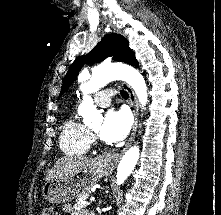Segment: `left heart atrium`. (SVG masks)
<instances>
[{"instance_id": "obj_1", "label": "left heart atrium", "mask_w": 221, "mask_h": 215, "mask_svg": "<svg viewBox=\"0 0 221 215\" xmlns=\"http://www.w3.org/2000/svg\"><path fill=\"white\" fill-rule=\"evenodd\" d=\"M130 130V118L125 111L110 110L100 128V137L110 143L124 139Z\"/></svg>"}]
</instances>
